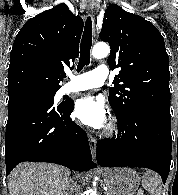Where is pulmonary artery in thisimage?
Instances as JSON below:
<instances>
[{
    "instance_id": "pulmonary-artery-1",
    "label": "pulmonary artery",
    "mask_w": 178,
    "mask_h": 195,
    "mask_svg": "<svg viewBox=\"0 0 178 195\" xmlns=\"http://www.w3.org/2000/svg\"><path fill=\"white\" fill-rule=\"evenodd\" d=\"M107 78L108 68L105 65L98 66L89 72L70 74L69 81L62 86L60 93L64 95L100 87Z\"/></svg>"
}]
</instances>
